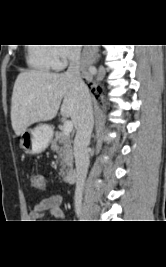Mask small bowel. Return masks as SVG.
<instances>
[{
	"instance_id": "1",
	"label": "small bowel",
	"mask_w": 166,
	"mask_h": 267,
	"mask_svg": "<svg viewBox=\"0 0 166 267\" xmlns=\"http://www.w3.org/2000/svg\"><path fill=\"white\" fill-rule=\"evenodd\" d=\"M62 203H63V196L59 194L51 195L43 199L33 207L30 213V219L32 221H39L45 216H51L57 220H62L63 219V213L61 210Z\"/></svg>"
}]
</instances>
